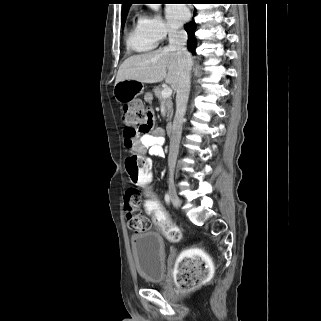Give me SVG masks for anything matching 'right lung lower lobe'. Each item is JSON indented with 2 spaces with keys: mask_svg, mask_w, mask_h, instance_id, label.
I'll use <instances>...</instances> for the list:
<instances>
[{
  "mask_svg": "<svg viewBox=\"0 0 321 321\" xmlns=\"http://www.w3.org/2000/svg\"><path fill=\"white\" fill-rule=\"evenodd\" d=\"M184 29L188 34V48L194 54V51L196 48V39L194 35L195 29H196V23L194 22V19L189 23L185 24Z\"/></svg>",
  "mask_w": 321,
  "mask_h": 321,
  "instance_id": "1",
  "label": "right lung lower lobe"
}]
</instances>
